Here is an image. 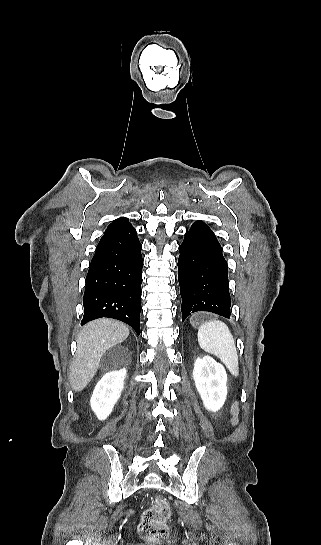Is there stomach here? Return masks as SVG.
<instances>
[{"label":"stomach","mask_w":321,"mask_h":545,"mask_svg":"<svg viewBox=\"0 0 321 545\" xmlns=\"http://www.w3.org/2000/svg\"><path fill=\"white\" fill-rule=\"evenodd\" d=\"M199 321V313H196V315H193V317H191L190 319V323L191 325H193V327H195V325H198Z\"/></svg>","instance_id":"0dacf381"}]
</instances>
